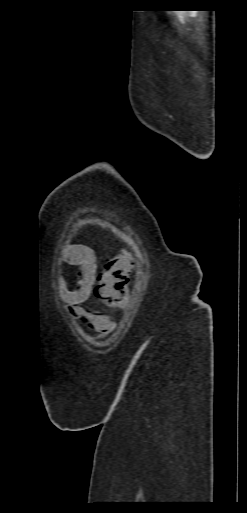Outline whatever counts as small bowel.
Listing matches in <instances>:
<instances>
[{
    "mask_svg": "<svg viewBox=\"0 0 247 513\" xmlns=\"http://www.w3.org/2000/svg\"><path fill=\"white\" fill-rule=\"evenodd\" d=\"M62 260L68 266L79 268L74 288L70 287L65 276L57 280L59 294L67 304L68 311L97 328L102 336H108L114 329V319L98 314L84 305L89 300L95 284L96 262L93 253L77 245H68L62 250Z\"/></svg>",
    "mask_w": 247,
    "mask_h": 513,
    "instance_id": "1",
    "label": "small bowel"
}]
</instances>
